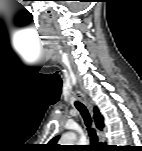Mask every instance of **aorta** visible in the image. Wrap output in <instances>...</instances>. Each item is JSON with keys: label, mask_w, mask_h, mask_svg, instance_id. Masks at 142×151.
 I'll return each instance as SVG.
<instances>
[{"label": "aorta", "mask_w": 142, "mask_h": 151, "mask_svg": "<svg viewBox=\"0 0 142 151\" xmlns=\"http://www.w3.org/2000/svg\"><path fill=\"white\" fill-rule=\"evenodd\" d=\"M76 140V134L74 132H67L62 135L59 143L61 145H73Z\"/></svg>", "instance_id": "762f6f07"}]
</instances>
